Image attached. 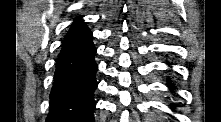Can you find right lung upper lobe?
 <instances>
[{
	"instance_id": "cb5924a9",
	"label": "right lung upper lobe",
	"mask_w": 221,
	"mask_h": 122,
	"mask_svg": "<svg viewBox=\"0 0 221 122\" xmlns=\"http://www.w3.org/2000/svg\"><path fill=\"white\" fill-rule=\"evenodd\" d=\"M80 22H82V20H77V21H75V22L73 23V25L78 24V23H80ZM73 25H72V26H73Z\"/></svg>"
}]
</instances>
